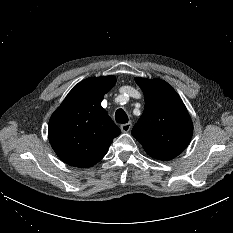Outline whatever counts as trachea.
Wrapping results in <instances>:
<instances>
[{
  "instance_id": "trachea-1",
  "label": "trachea",
  "mask_w": 233,
  "mask_h": 233,
  "mask_svg": "<svg viewBox=\"0 0 233 233\" xmlns=\"http://www.w3.org/2000/svg\"><path fill=\"white\" fill-rule=\"evenodd\" d=\"M115 119L117 123H127L128 122V116L125 113V111L123 109H118L115 113Z\"/></svg>"
}]
</instances>
